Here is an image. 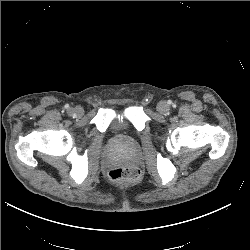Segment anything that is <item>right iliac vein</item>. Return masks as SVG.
Returning a JSON list of instances; mask_svg holds the SVG:
<instances>
[{
	"label": "right iliac vein",
	"mask_w": 250,
	"mask_h": 250,
	"mask_svg": "<svg viewBox=\"0 0 250 250\" xmlns=\"http://www.w3.org/2000/svg\"><path fill=\"white\" fill-rule=\"evenodd\" d=\"M68 114L71 116L81 117L84 114V110L81 107L70 108Z\"/></svg>",
	"instance_id": "63e3f726"
}]
</instances>
